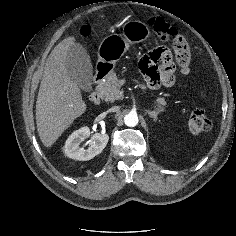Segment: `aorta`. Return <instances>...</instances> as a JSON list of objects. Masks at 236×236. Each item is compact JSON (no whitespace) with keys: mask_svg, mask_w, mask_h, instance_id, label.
<instances>
[{"mask_svg":"<svg viewBox=\"0 0 236 236\" xmlns=\"http://www.w3.org/2000/svg\"><path fill=\"white\" fill-rule=\"evenodd\" d=\"M138 116L136 113L130 112L124 117V122L129 127H134L138 124Z\"/></svg>","mask_w":236,"mask_h":236,"instance_id":"1","label":"aorta"}]
</instances>
